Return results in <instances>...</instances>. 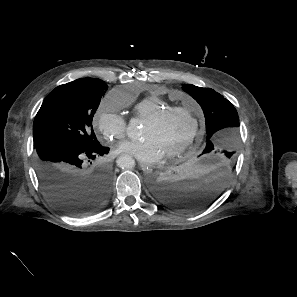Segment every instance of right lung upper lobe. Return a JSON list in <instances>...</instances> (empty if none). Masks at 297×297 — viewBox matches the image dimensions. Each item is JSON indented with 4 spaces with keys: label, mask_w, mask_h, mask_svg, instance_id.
Listing matches in <instances>:
<instances>
[{
    "label": "right lung upper lobe",
    "mask_w": 297,
    "mask_h": 297,
    "mask_svg": "<svg viewBox=\"0 0 297 297\" xmlns=\"http://www.w3.org/2000/svg\"><path fill=\"white\" fill-rule=\"evenodd\" d=\"M81 80H83V81H96L97 79L96 78H83Z\"/></svg>",
    "instance_id": "obj_1"
}]
</instances>
